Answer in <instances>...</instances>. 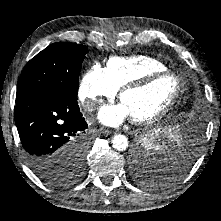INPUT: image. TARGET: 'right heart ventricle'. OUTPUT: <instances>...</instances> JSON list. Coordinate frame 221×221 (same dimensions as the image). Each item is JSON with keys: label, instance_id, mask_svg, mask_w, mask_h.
<instances>
[{"label": "right heart ventricle", "instance_id": "right-heart-ventricle-1", "mask_svg": "<svg viewBox=\"0 0 221 221\" xmlns=\"http://www.w3.org/2000/svg\"><path fill=\"white\" fill-rule=\"evenodd\" d=\"M108 77L117 89L124 84L140 79L143 76L167 70L160 60L147 55H131L124 57H111L105 68Z\"/></svg>", "mask_w": 221, "mask_h": 221}]
</instances>
